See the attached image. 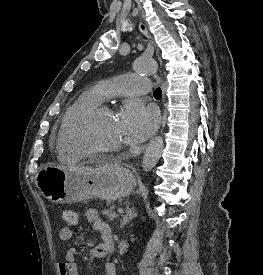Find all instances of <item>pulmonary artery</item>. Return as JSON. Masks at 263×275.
<instances>
[{
	"instance_id": "obj_1",
	"label": "pulmonary artery",
	"mask_w": 263,
	"mask_h": 275,
	"mask_svg": "<svg viewBox=\"0 0 263 275\" xmlns=\"http://www.w3.org/2000/svg\"><path fill=\"white\" fill-rule=\"evenodd\" d=\"M98 90L104 98L144 95L150 90V82L135 74H124L104 81Z\"/></svg>"
}]
</instances>
